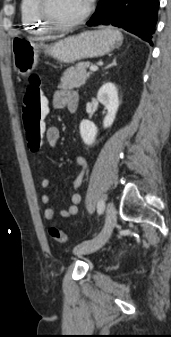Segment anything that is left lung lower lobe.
<instances>
[{
  "label": "left lung lower lobe",
  "mask_w": 171,
  "mask_h": 337,
  "mask_svg": "<svg viewBox=\"0 0 171 337\" xmlns=\"http://www.w3.org/2000/svg\"><path fill=\"white\" fill-rule=\"evenodd\" d=\"M158 8V0H100L96 12L86 24L120 27L152 45Z\"/></svg>",
  "instance_id": "1"
}]
</instances>
